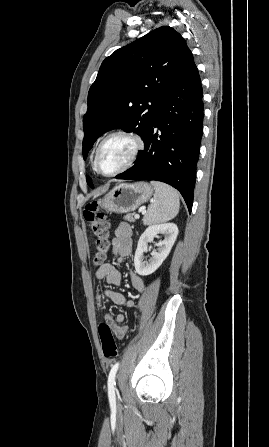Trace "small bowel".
Returning a JSON list of instances; mask_svg holds the SVG:
<instances>
[{
    "mask_svg": "<svg viewBox=\"0 0 269 447\" xmlns=\"http://www.w3.org/2000/svg\"><path fill=\"white\" fill-rule=\"evenodd\" d=\"M132 231L127 224H120L115 229V236L112 243V253L118 258L120 262H124L129 259L133 253V242H132ZM105 280L111 285L119 286L122 284V275L117 270L115 265L111 262L102 264L95 272V282L98 284ZM131 285L134 290L138 292H143L146 289L145 282L137 275H130ZM104 299L111 300L115 305L122 306L126 308H134V300L126 297L124 294L115 292L111 289H104L96 291V302L100 307ZM105 318L109 321L108 326L111 329L115 328V335L118 339L125 338L127 334V328L121 326L125 317L123 314L119 313L115 316L111 314H106Z\"/></svg>",
    "mask_w": 269,
    "mask_h": 447,
    "instance_id": "c3829d8e",
    "label": "small bowel"
}]
</instances>
